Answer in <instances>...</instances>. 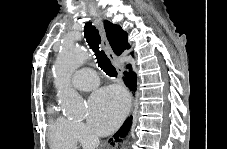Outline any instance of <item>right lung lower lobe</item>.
I'll list each match as a JSON object with an SVG mask.
<instances>
[{"instance_id":"obj_1","label":"right lung lower lobe","mask_w":227,"mask_h":149,"mask_svg":"<svg viewBox=\"0 0 227 149\" xmlns=\"http://www.w3.org/2000/svg\"><path fill=\"white\" fill-rule=\"evenodd\" d=\"M127 68L130 69V72L127 73L125 72L124 75H125V78H124V81L126 83V85L128 87H130L131 90H136V75L134 72H132L131 70V65H128ZM131 117L128 118L123 126L120 128V130L115 134V138L117 139L119 136L123 137L127 134V132L129 131V128L131 126ZM112 140V139H110Z\"/></svg>"}]
</instances>
